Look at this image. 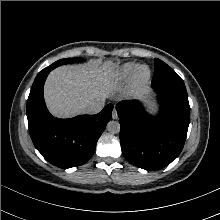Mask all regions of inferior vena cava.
<instances>
[{"instance_id": "1", "label": "inferior vena cava", "mask_w": 220, "mask_h": 220, "mask_svg": "<svg viewBox=\"0 0 220 220\" xmlns=\"http://www.w3.org/2000/svg\"><path fill=\"white\" fill-rule=\"evenodd\" d=\"M104 105V100L93 101L85 106L84 112L86 114H97L104 108Z\"/></svg>"}]
</instances>
